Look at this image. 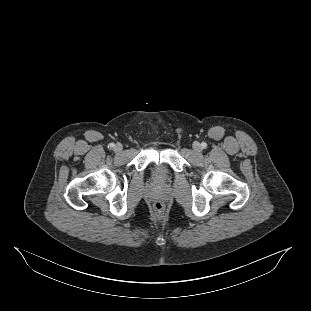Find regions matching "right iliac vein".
<instances>
[{
    "mask_svg": "<svg viewBox=\"0 0 311 311\" xmlns=\"http://www.w3.org/2000/svg\"><path fill=\"white\" fill-rule=\"evenodd\" d=\"M122 149H123V146H122L121 143H117V144L114 146V150H115L116 152H120V151H122Z\"/></svg>",
    "mask_w": 311,
    "mask_h": 311,
    "instance_id": "obj_1",
    "label": "right iliac vein"
}]
</instances>
